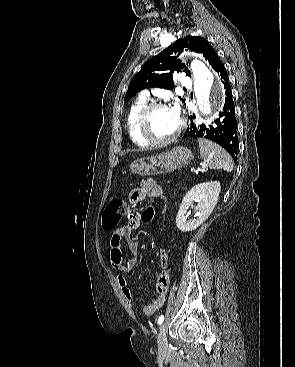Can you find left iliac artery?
Instances as JSON below:
<instances>
[{
	"instance_id": "44dca946",
	"label": "left iliac artery",
	"mask_w": 295,
	"mask_h": 367,
	"mask_svg": "<svg viewBox=\"0 0 295 367\" xmlns=\"http://www.w3.org/2000/svg\"><path fill=\"white\" fill-rule=\"evenodd\" d=\"M163 320H164V316L161 315L158 319V324L161 325L163 323Z\"/></svg>"
}]
</instances>
